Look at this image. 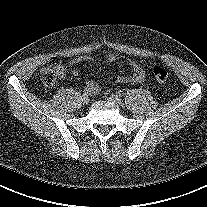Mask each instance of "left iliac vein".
Returning <instances> with one entry per match:
<instances>
[{
	"mask_svg": "<svg viewBox=\"0 0 207 207\" xmlns=\"http://www.w3.org/2000/svg\"><path fill=\"white\" fill-rule=\"evenodd\" d=\"M107 100L115 105H122V100L116 95H110L107 97Z\"/></svg>",
	"mask_w": 207,
	"mask_h": 207,
	"instance_id": "1",
	"label": "left iliac vein"
}]
</instances>
